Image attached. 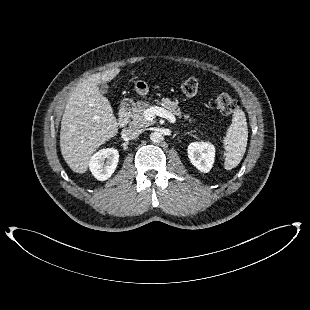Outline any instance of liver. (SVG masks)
Returning <instances> with one entry per match:
<instances>
[{"mask_svg": "<svg viewBox=\"0 0 310 310\" xmlns=\"http://www.w3.org/2000/svg\"><path fill=\"white\" fill-rule=\"evenodd\" d=\"M119 72L114 68L92 74L69 96L61 120L60 149L65 162L76 173H85L91 155L118 133L111 104L97 84L111 81Z\"/></svg>", "mask_w": 310, "mask_h": 310, "instance_id": "6515ba94", "label": "liver"}]
</instances>
